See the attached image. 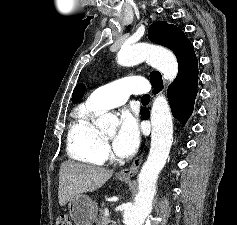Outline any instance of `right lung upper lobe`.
<instances>
[{
    "label": "right lung upper lobe",
    "instance_id": "cb5924a9",
    "mask_svg": "<svg viewBox=\"0 0 237 225\" xmlns=\"http://www.w3.org/2000/svg\"><path fill=\"white\" fill-rule=\"evenodd\" d=\"M84 91H85V86L81 83L78 84L73 91L72 102L75 103L79 101L83 97Z\"/></svg>",
    "mask_w": 237,
    "mask_h": 225
}]
</instances>
